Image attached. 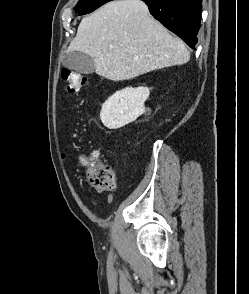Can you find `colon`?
I'll use <instances>...</instances> for the list:
<instances>
[{
	"instance_id": "1",
	"label": "colon",
	"mask_w": 249,
	"mask_h": 294,
	"mask_svg": "<svg viewBox=\"0 0 249 294\" xmlns=\"http://www.w3.org/2000/svg\"><path fill=\"white\" fill-rule=\"evenodd\" d=\"M62 78L67 82L71 93L79 92L86 85V77L83 74L68 68L62 70ZM97 159L96 152L80 157V162L85 168L87 184L98 191L114 190L116 179L113 168L108 164L98 162Z\"/></svg>"
}]
</instances>
